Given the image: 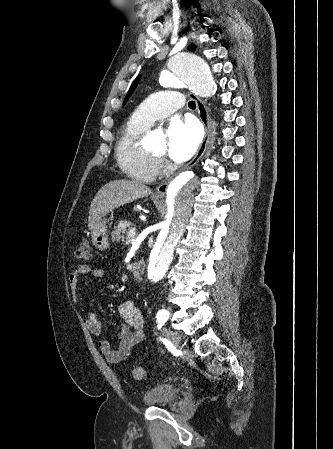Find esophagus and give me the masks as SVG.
Returning a JSON list of instances; mask_svg holds the SVG:
<instances>
[{
  "mask_svg": "<svg viewBox=\"0 0 333 449\" xmlns=\"http://www.w3.org/2000/svg\"><path fill=\"white\" fill-rule=\"evenodd\" d=\"M190 96L192 99L195 100L196 102V108H197V112L199 115V118L201 120V122L204 125L205 128V134H204V139L196 153V155L194 156V158L188 163V168H191L192 166H194L199 160L200 158L203 156V154L206 151V148L211 140V135H212V129H211V118L209 116L208 110L205 106V104L203 103V101L198 98L195 94H193L192 92H190ZM169 185V181H165L163 183H161L157 188H156V195L157 196H164L167 190V187Z\"/></svg>",
  "mask_w": 333,
  "mask_h": 449,
  "instance_id": "34e87169",
  "label": "esophagus"
}]
</instances>
